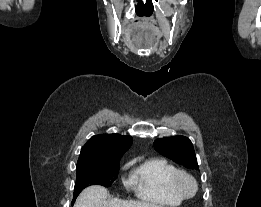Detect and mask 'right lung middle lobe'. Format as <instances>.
<instances>
[{
  "mask_svg": "<svg viewBox=\"0 0 261 207\" xmlns=\"http://www.w3.org/2000/svg\"><path fill=\"white\" fill-rule=\"evenodd\" d=\"M120 159L121 157H118L108 163L77 165V178L74 187L72 205L79 193L89 185H102L109 187L118 176Z\"/></svg>",
  "mask_w": 261,
  "mask_h": 207,
  "instance_id": "dd1d6c3e",
  "label": "right lung middle lobe"
}]
</instances>
